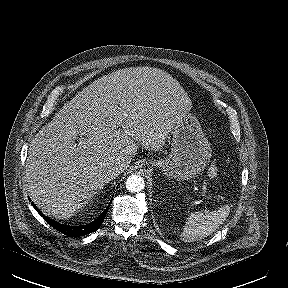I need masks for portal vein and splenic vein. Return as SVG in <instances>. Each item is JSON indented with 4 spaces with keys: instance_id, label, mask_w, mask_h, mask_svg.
Segmentation results:
<instances>
[{
    "instance_id": "portal-vein-and-splenic-vein-1",
    "label": "portal vein and splenic vein",
    "mask_w": 288,
    "mask_h": 288,
    "mask_svg": "<svg viewBox=\"0 0 288 288\" xmlns=\"http://www.w3.org/2000/svg\"><path fill=\"white\" fill-rule=\"evenodd\" d=\"M202 188H203V189H206V188H207V183L204 182V181L202 182ZM205 211L208 212L209 210L206 208Z\"/></svg>"
}]
</instances>
